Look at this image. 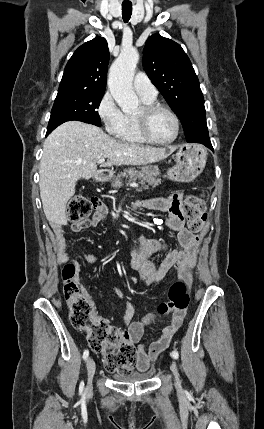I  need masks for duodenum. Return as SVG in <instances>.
Wrapping results in <instances>:
<instances>
[{
	"label": "duodenum",
	"instance_id": "obj_1",
	"mask_svg": "<svg viewBox=\"0 0 264 429\" xmlns=\"http://www.w3.org/2000/svg\"><path fill=\"white\" fill-rule=\"evenodd\" d=\"M93 178H94V180H96V181H100V180H102L103 179V174H101V173H96L94 176H93ZM142 259H143V255L142 254H137V256H136V260L137 261H142Z\"/></svg>",
	"mask_w": 264,
	"mask_h": 429
}]
</instances>
